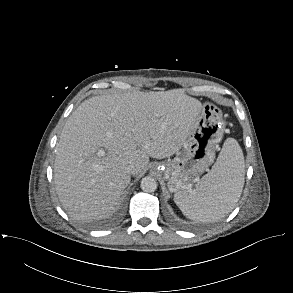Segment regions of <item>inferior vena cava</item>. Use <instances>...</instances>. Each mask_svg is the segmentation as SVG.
<instances>
[{
  "mask_svg": "<svg viewBox=\"0 0 293 293\" xmlns=\"http://www.w3.org/2000/svg\"><path fill=\"white\" fill-rule=\"evenodd\" d=\"M136 170H137L136 166L132 163L126 165V167H125V171L128 174H134L136 172Z\"/></svg>",
  "mask_w": 293,
  "mask_h": 293,
  "instance_id": "obj_1",
  "label": "inferior vena cava"
}]
</instances>
